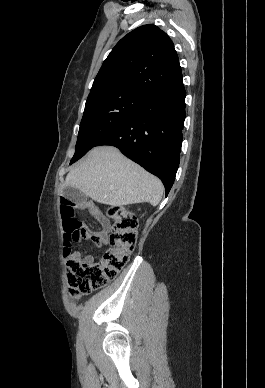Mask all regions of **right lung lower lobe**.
Masks as SVG:
<instances>
[{"label":"right lung lower lobe","mask_w":265,"mask_h":388,"mask_svg":"<svg viewBox=\"0 0 265 388\" xmlns=\"http://www.w3.org/2000/svg\"><path fill=\"white\" fill-rule=\"evenodd\" d=\"M183 81L147 95L136 111L97 144L112 145L158 176L169 193L179 166L185 120Z\"/></svg>","instance_id":"right-lung-lower-lobe-1"}]
</instances>
